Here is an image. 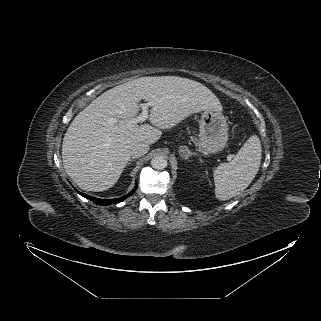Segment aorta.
Here are the masks:
<instances>
[{
  "label": "aorta",
  "instance_id": "aorta-1",
  "mask_svg": "<svg viewBox=\"0 0 321 321\" xmlns=\"http://www.w3.org/2000/svg\"><path fill=\"white\" fill-rule=\"evenodd\" d=\"M151 165L157 170H163L167 166V160L164 156L157 155L151 159Z\"/></svg>",
  "mask_w": 321,
  "mask_h": 321
}]
</instances>
